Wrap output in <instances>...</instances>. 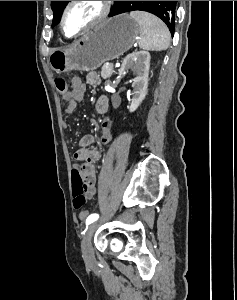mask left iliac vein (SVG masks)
Returning a JSON list of instances; mask_svg holds the SVG:
<instances>
[{
    "label": "left iliac vein",
    "instance_id": "left-iliac-vein-1",
    "mask_svg": "<svg viewBox=\"0 0 237 300\" xmlns=\"http://www.w3.org/2000/svg\"><path fill=\"white\" fill-rule=\"evenodd\" d=\"M98 227V222H93L87 229L83 239H82V253L85 265L92 267L94 263V254L92 250L91 241L94 233Z\"/></svg>",
    "mask_w": 237,
    "mask_h": 300
}]
</instances>
